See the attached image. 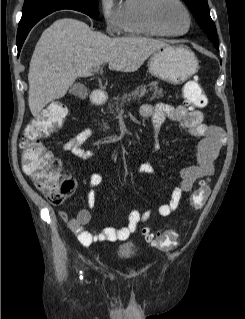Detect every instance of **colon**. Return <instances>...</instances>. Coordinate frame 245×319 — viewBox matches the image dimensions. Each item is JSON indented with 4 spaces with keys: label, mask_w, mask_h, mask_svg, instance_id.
<instances>
[{
    "label": "colon",
    "mask_w": 245,
    "mask_h": 319,
    "mask_svg": "<svg viewBox=\"0 0 245 319\" xmlns=\"http://www.w3.org/2000/svg\"><path fill=\"white\" fill-rule=\"evenodd\" d=\"M183 95L186 104L192 108H203L208 104L206 93L196 77L185 83ZM67 115L66 105L60 102L52 103L29 123L20 143L24 172L49 201L56 205L61 204L74 192L76 183L64 173L60 160L46 150L40 140L60 128ZM209 192V180L206 178L192 193V206L201 208ZM143 235L152 246L161 250H172L177 245V235L173 231L154 234L149 229H144Z\"/></svg>",
    "instance_id": "colon-1"
}]
</instances>
